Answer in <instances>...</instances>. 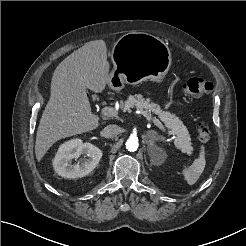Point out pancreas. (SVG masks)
I'll use <instances>...</instances> for the list:
<instances>
[{"instance_id":"obj_1","label":"pancreas","mask_w":246,"mask_h":246,"mask_svg":"<svg viewBox=\"0 0 246 246\" xmlns=\"http://www.w3.org/2000/svg\"><path fill=\"white\" fill-rule=\"evenodd\" d=\"M124 111L130 112L132 108L140 110L147 119L151 113L158 115L159 119L170 129L171 134L175 135V145L182 151H189L191 149V138L189 132L182 123L181 119L175 114L164 111L161 107L150 100L144 98L141 94L130 95L127 100L122 103Z\"/></svg>"}]
</instances>
